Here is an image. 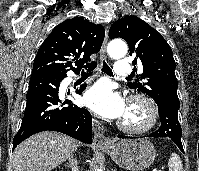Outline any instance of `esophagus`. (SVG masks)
Returning a JSON list of instances; mask_svg holds the SVG:
<instances>
[{"mask_svg": "<svg viewBox=\"0 0 199 171\" xmlns=\"http://www.w3.org/2000/svg\"><path fill=\"white\" fill-rule=\"evenodd\" d=\"M108 41V30L106 28L105 30V38L100 50V59L103 60L106 58V46ZM93 124V131H94V138H93V144L97 148H105L108 147L111 144L110 138L105 136V129L102 126V124L93 118L92 120Z\"/></svg>", "mask_w": 199, "mask_h": 171, "instance_id": "obj_1", "label": "esophagus"}]
</instances>
